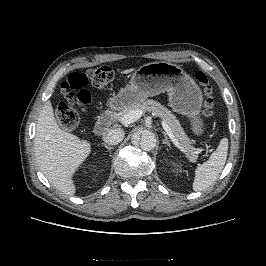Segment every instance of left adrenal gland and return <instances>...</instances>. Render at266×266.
<instances>
[{"instance_id":"obj_1","label":"left adrenal gland","mask_w":266,"mask_h":266,"mask_svg":"<svg viewBox=\"0 0 266 266\" xmlns=\"http://www.w3.org/2000/svg\"><path fill=\"white\" fill-rule=\"evenodd\" d=\"M164 140L162 141L163 144H166L169 148L171 147L168 137L165 132H163Z\"/></svg>"}]
</instances>
